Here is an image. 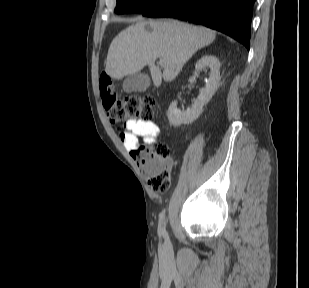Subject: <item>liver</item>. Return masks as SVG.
I'll use <instances>...</instances> for the list:
<instances>
[{
  "label": "liver",
  "instance_id": "6515ba94",
  "mask_svg": "<svg viewBox=\"0 0 309 288\" xmlns=\"http://www.w3.org/2000/svg\"><path fill=\"white\" fill-rule=\"evenodd\" d=\"M216 32L177 20H139L119 33L111 42L106 74L112 79L138 73L148 66L155 87L162 79L173 81L186 62L201 48L211 44ZM160 58L163 73L155 65Z\"/></svg>",
  "mask_w": 309,
  "mask_h": 288
}]
</instances>
